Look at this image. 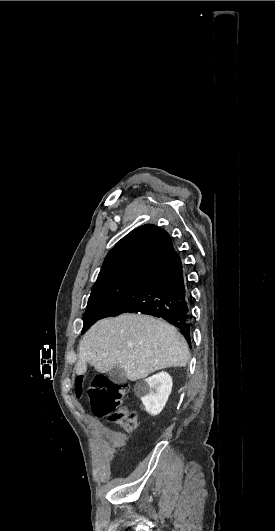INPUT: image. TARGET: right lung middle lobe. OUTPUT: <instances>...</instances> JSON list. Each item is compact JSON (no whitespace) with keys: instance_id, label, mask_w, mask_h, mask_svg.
<instances>
[{"instance_id":"obj_1","label":"right lung middle lobe","mask_w":275,"mask_h":531,"mask_svg":"<svg viewBox=\"0 0 275 531\" xmlns=\"http://www.w3.org/2000/svg\"><path fill=\"white\" fill-rule=\"evenodd\" d=\"M145 267H131L97 279L84 313L82 334L138 279Z\"/></svg>"}]
</instances>
